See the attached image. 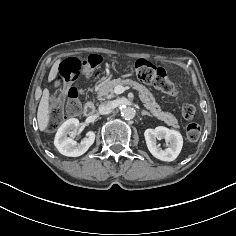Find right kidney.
<instances>
[{
    "instance_id": "ca27d5eb",
    "label": "right kidney",
    "mask_w": 236,
    "mask_h": 236,
    "mask_svg": "<svg viewBox=\"0 0 236 236\" xmlns=\"http://www.w3.org/2000/svg\"><path fill=\"white\" fill-rule=\"evenodd\" d=\"M78 127L79 120L76 118L66 120L59 127L55 135L54 145L62 155L69 157L81 156L94 143L95 133L93 131L87 132L86 137L80 143L74 141L71 137L74 136Z\"/></svg>"
}]
</instances>
